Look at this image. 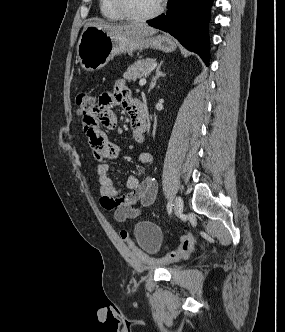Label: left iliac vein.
Returning <instances> with one entry per match:
<instances>
[{
  "mask_svg": "<svg viewBox=\"0 0 285 332\" xmlns=\"http://www.w3.org/2000/svg\"><path fill=\"white\" fill-rule=\"evenodd\" d=\"M174 211L177 216H181L183 213V200L180 196H177L174 201Z\"/></svg>",
  "mask_w": 285,
  "mask_h": 332,
  "instance_id": "left-iliac-vein-1",
  "label": "left iliac vein"
}]
</instances>
